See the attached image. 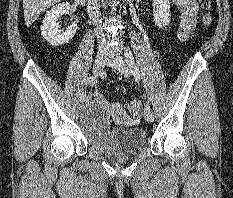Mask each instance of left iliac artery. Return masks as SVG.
<instances>
[{"mask_svg":"<svg viewBox=\"0 0 233 198\" xmlns=\"http://www.w3.org/2000/svg\"><path fill=\"white\" fill-rule=\"evenodd\" d=\"M125 61L129 67V69L133 73V75H139L138 66L136 65L133 54L128 47L125 48ZM147 107H148V104H147Z\"/></svg>","mask_w":233,"mask_h":198,"instance_id":"1","label":"left iliac artery"}]
</instances>
